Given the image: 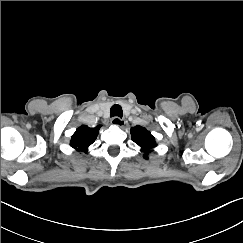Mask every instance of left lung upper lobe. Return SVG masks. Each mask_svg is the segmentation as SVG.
Segmentation results:
<instances>
[{"label":"left lung upper lobe","instance_id":"1","mask_svg":"<svg viewBox=\"0 0 243 243\" xmlns=\"http://www.w3.org/2000/svg\"><path fill=\"white\" fill-rule=\"evenodd\" d=\"M132 140L142 148L143 152H148L149 149L156 147L155 138L144 127L135 126L131 128ZM144 158H148L144 155Z\"/></svg>","mask_w":243,"mask_h":243}]
</instances>
